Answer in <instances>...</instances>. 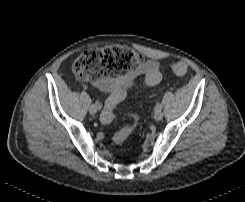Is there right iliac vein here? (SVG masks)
Instances as JSON below:
<instances>
[{
	"label": "right iliac vein",
	"mask_w": 245,
	"mask_h": 202,
	"mask_svg": "<svg viewBox=\"0 0 245 202\" xmlns=\"http://www.w3.org/2000/svg\"><path fill=\"white\" fill-rule=\"evenodd\" d=\"M98 111V107L95 104H92L89 108L90 114L94 115Z\"/></svg>",
	"instance_id": "obj_1"
}]
</instances>
